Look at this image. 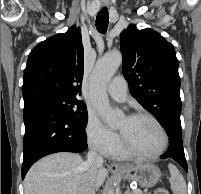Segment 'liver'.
Wrapping results in <instances>:
<instances>
[{
	"label": "liver",
	"instance_id": "liver-1",
	"mask_svg": "<svg viewBox=\"0 0 201 194\" xmlns=\"http://www.w3.org/2000/svg\"><path fill=\"white\" fill-rule=\"evenodd\" d=\"M108 172L100 166L94 172V187L103 185ZM86 177L84 161L78 154L62 152L35 163L24 179V194H78Z\"/></svg>",
	"mask_w": 201,
	"mask_h": 194
}]
</instances>
